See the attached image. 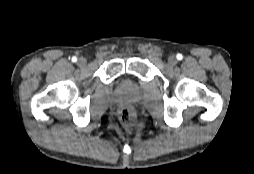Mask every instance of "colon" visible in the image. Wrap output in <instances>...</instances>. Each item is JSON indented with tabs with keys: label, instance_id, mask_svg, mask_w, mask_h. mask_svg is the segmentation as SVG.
I'll return each mask as SVG.
<instances>
[{
	"label": "colon",
	"instance_id": "obj_1",
	"mask_svg": "<svg viewBox=\"0 0 254 174\" xmlns=\"http://www.w3.org/2000/svg\"><path fill=\"white\" fill-rule=\"evenodd\" d=\"M119 119L123 127L128 131L134 129L137 125V116L130 108H123L120 111Z\"/></svg>",
	"mask_w": 254,
	"mask_h": 174
}]
</instances>
